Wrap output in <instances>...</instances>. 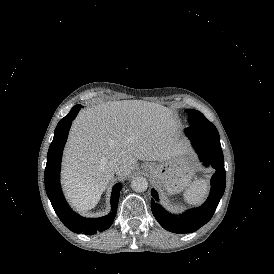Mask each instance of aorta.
<instances>
[{
  "label": "aorta",
  "mask_w": 274,
  "mask_h": 274,
  "mask_svg": "<svg viewBox=\"0 0 274 274\" xmlns=\"http://www.w3.org/2000/svg\"><path fill=\"white\" fill-rule=\"evenodd\" d=\"M131 187L136 192H142L148 188V182L145 177L137 176L131 181Z\"/></svg>",
  "instance_id": "1"
}]
</instances>
